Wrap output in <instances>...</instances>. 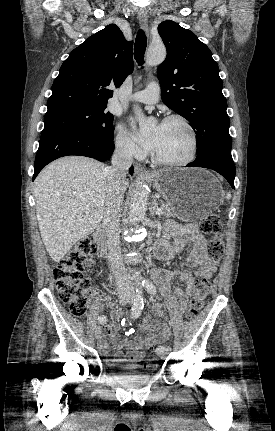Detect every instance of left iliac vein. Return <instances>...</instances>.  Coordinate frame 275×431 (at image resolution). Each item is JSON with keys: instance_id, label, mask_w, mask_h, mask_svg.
Returning a JSON list of instances; mask_svg holds the SVG:
<instances>
[{"instance_id": "1", "label": "left iliac vein", "mask_w": 275, "mask_h": 431, "mask_svg": "<svg viewBox=\"0 0 275 431\" xmlns=\"http://www.w3.org/2000/svg\"><path fill=\"white\" fill-rule=\"evenodd\" d=\"M169 352H170V348L164 349V351L160 354V357L162 359H165L168 356Z\"/></svg>"}]
</instances>
